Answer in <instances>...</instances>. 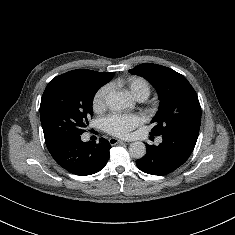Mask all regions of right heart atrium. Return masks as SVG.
Masks as SVG:
<instances>
[{
  "label": "right heart atrium",
  "instance_id": "right-heart-atrium-1",
  "mask_svg": "<svg viewBox=\"0 0 235 235\" xmlns=\"http://www.w3.org/2000/svg\"><path fill=\"white\" fill-rule=\"evenodd\" d=\"M110 91L111 87L108 84L103 85L96 91L92 100V107L94 111L98 112L105 108Z\"/></svg>",
  "mask_w": 235,
  "mask_h": 235
}]
</instances>
